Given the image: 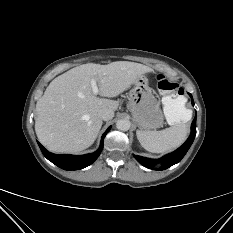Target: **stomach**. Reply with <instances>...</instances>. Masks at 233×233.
I'll return each mask as SVG.
<instances>
[{
  "label": "stomach",
  "mask_w": 233,
  "mask_h": 233,
  "mask_svg": "<svg viewBox=\"0 0 233 233\" xmlns=\"http://www.w3.org/2000/svg\"><path fill=\"white\" fill-rule=\"evenodd\" d=\"M156 92L149 86L146 75H142L129 92L128 109L136 125L145 131L159 128L164 121Z\"/></svg>",
  "instance_id": "obj_1"
}]
</instances>
